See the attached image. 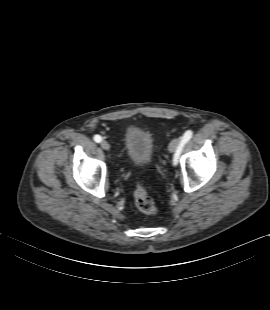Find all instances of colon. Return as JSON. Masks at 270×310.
Returning a JSON list of instances; mask_svg holds the SVG:
<instances>
[{
    "instance_id": "5ec220e1",
    "label": "colon",
    "mask_w": 270,
    "mask_h": 310,
    "mask_svg": "<svg viewBox=\"0 0 270 310\" xmlns=\"http://www.w3.org/2000/svg\"><path fill=\"white\" fill-rule=\"evenodd\" d=\"M134 199L137 208L148 215L156 214L158 209L153 198L148 194L145 187L139 184L134 192Z\"/></svg>"
}]
</instances>
